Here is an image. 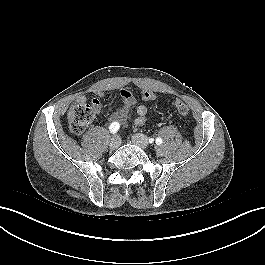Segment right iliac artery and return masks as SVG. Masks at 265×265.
I'll return each instance as SVG.
<instances>
[{
    "label": "right iliac artery",
    "mask_w": 265,
    "mask_h": 265,
    "mask_svg": "<svg viewBox=\"0 0 265 265\" xmlns=\"http://www.w3.org/2000/svg\"><path fill=\"white\" fill-rule=\"evenodd\" d=\"M119 128H120L119 123L113 122L110 124L109 130L112 134H115L119 130Z\"/></svg>",
    "instance_id": "obj_1"
}]
</instances>
